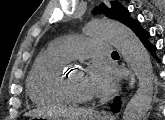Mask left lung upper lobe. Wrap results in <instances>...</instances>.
<instances>
[{"mask_svg":"<svg viewBox=\"0 0 165 120\" xmlns=\"http://www.w3.org/2000/svg\"><path fill=\"white\" fill-rule=\"evenodd\" d=\"M112 8H107L104 4L98 9L94 10L96 13L98 10L102 11L107 17L114 18L126 26H130L134 19L130 18L129 11L124 8L119 2H112Z\"/></svg>","mask_w":165,"mask_h":120,"instance_id":"1","label":"left lung upper lobe"}]
</instances>
